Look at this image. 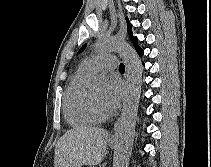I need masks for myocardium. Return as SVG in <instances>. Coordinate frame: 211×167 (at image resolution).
<instances>
[{
	"mask_svg": "<svg viewBox=\"0 0 211 167\" xmlns=\"http://www.w3.org/2000/svg\"><path fill=\"white\" fill-rule=\"evenodd\" d=\"M87 106H88V109H89L91 115L95 118L96 121L102 122V121H106L110 118L109 114H102L97 110L90 91H88V93H87Z\"/></svg>",
	"mask_w": 211,
	"mask_h": 167,
	"instance_id": "1",
	"label": "myocardium"
}]
</instances>
